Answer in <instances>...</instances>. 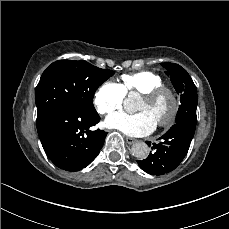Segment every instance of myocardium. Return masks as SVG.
Listing matches in <instances>:
<instances>
[{"mask_svg":"<svg viewBox=\"0 0 229 229\" xmlns=\"http://www.w3.org/2000/svg\"><path fill=\"white\" fill-rule=\"evenodd\" d=\"M168 96L172 101V110L169 117L162 121H157L156 124L161 128H169L175 124L181 110V99L174 89L168 86H159L152 88L142 94V97L149 101H157L162 96Z\"/></svg>","mask_w":229,"mask_h":229,"instance_id":"f54148a6","label":"myocardium"}]
</instances>
